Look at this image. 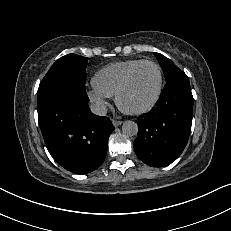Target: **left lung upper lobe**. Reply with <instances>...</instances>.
Listing matches in <instances>:
<instances>
[{"label": "left lung upper lobe", "instance_id": "left-lung-upper-lobe-1", "mask_svg": "<svg viewBox=\"0 0 231 231\" xmlns=\"http://www.w3.org/2000/svg\"><path fill=\"white\" fill-rule=\"evenodd\" d=\"M157 57L159 64L161 65L166 81L172 76L181 73L182 71L168 58L160 53H154Z\"/></svg>", "mask_w": 231, "mask_h": 231}]
</instances>
